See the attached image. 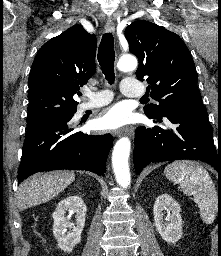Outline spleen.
<instances>
[{
    "mask_svg": "<svg viewBox=\"0 0 221 256\" xmlns=\"http://www.w3.org/2000/svg\"><path fill=\"white\" fill-rule=\"evenodd\" d=\"M164 173L180 184L185 195L193 197L202 220L211 224L218 212V193L206 169L192 161H174L165 167Z\"/></svg>",
    "mask_w": 221,
    "mask_h": 256,
    "instance_id": "spleen-1",
    "label": "spleen"
}]
</instances>
